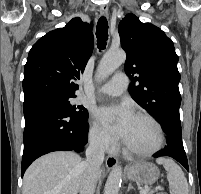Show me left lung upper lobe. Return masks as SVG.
<instances>
[{"instance_id":"1","label":"left lung upper lobe","mask_w":201,"mask_h":194,"mask_svg":"<svg viewBox=\"0 0 201 194\" xmlns=\"http://www.w3.org/2000/svg\"><path fill=\"white\" fill-rule=\"evenodd\" d=\"M119 34L127 53L125 72L133 80L129 88L132 98L158 120L166 112L179 114L180 73L172 40L133 14L122 19Z\"/></svg>"}]
</instances>
